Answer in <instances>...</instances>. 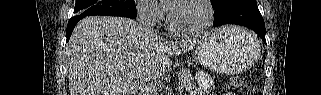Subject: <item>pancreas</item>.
<instances>
[{
	"label": "pancreas",
	"mask_w": 321,
	"mask_h": 95,
	"mask_svg": "<svg viewBox=\"0 0 321 95\" xmlns=\"http://www.w3.org/2000/svg\"><path fill=\"white\" fill-rule=\"evenodd\" d=\"M179 82L180 88H184L185 90H192L195 88V82L193 76L190 74L188 70H182L179 73Z\"/></svg>",
	"instance_id": "1"
}]
</instances>
